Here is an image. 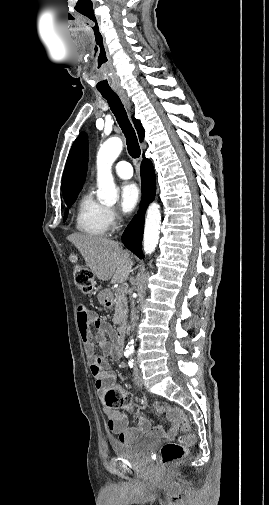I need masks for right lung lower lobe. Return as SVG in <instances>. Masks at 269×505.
Segmentation results:
<instances>
[{
    "label": "right lung lower lobe",
    "mask_w": 269,
    "mask_h": 505,
    "mask_svg": "<svg viewBox=\"0 0 269 505\" xmlns=\"http://www.w3.org/2000/svg\"><path fill=\"white\" fill-rule=\"evenodd\" d=\"M141 181H142V201L140 210L134 216L122 235V241L139 258H144L142 252V237L144 229V217L148 204L154 199L156 192V177L152 162L144 158L141 163Z\"/></svg>",
    "instance_id": "right-lung-lower-lobe-1"
}]
</instances>
